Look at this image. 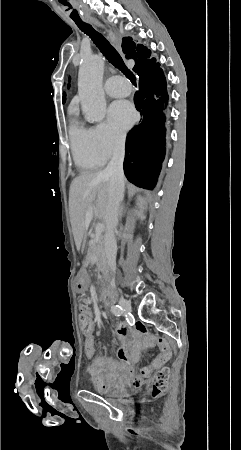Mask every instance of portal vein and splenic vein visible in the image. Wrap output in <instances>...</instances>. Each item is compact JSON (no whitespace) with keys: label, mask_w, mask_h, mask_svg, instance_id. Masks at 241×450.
I'll use <instances>...</instances> for the list:
<instances>
[{"label":"portal vein and splenic vein","mask_w":241,"mask_h":450,"mask_svg":"<svg viewBox=\"0 0 241 450\" xmlns=\"http://www.w3.org/2000/svg\"><path fill=\"white\" fill-rule=\"evenodd\" d=\"M102 232H104V224H97L95 228V240H99Z\"/></svg>","instance_id":"18ae733b"}]
</instances>
